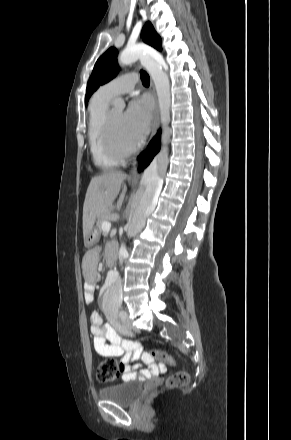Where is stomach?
Masks as SVG:
<instances>
[{
    "label": "stomach",
    "instance_id": "1",
    "mask_svg": "<svg viewBox=\"0 0 291 440\" xmlns=\"http://www.w3.org/2000/svg\"><path fill=\"white\" fill-rule=\"evenodd\" d=\"M98 232L94 229L85 238V245L91 247L98 240Z\"/></svg>",
    "mask_w": 291,
    "mask_h": 440
}]
</instances>
